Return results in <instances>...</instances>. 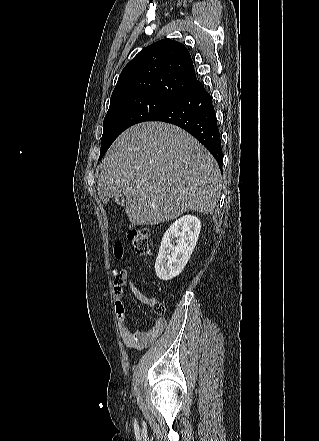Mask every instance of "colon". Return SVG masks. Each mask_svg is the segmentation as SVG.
<instances>
[{"label":"colon","mask_w":319,"mask_h":441,"mask_svg":"<svg viewBox=\"0 0 319 441\" xmlns=\"http://www.w3.org/2000/svg\"><path fill=\"white\" fill-rule=\"evenodd\" d=\"M128 240L138 255L144 256L149 252L150 232L145 227H132L128 232ZM154 311L158 315L164 313V306L157 303Z\"/></svg>","instance_id":"5ec220e1"}]
</instances>
